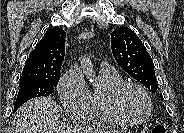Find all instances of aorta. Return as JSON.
<instances>
[{"mask_svg": "<svg viewBox=\"0 0 184 133\" xmlns=\"http://www.w3.org/2000/svg\"><path fill=\"white\" fill-rule=\"evenodd\" d=\"M80 63H81V70L87 76V78L93 79L95 77V72L90 59L88 57H83L80 60Z\"/></svg>", "mask_w": 184, "mask_h": 133, "instance_id": "762f6f07", "label": "aorta"}]
</instances>
